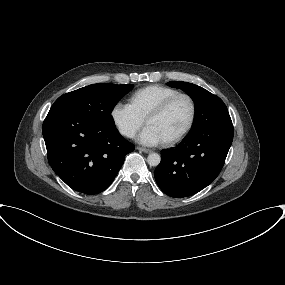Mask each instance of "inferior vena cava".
I'll use <instances>...</instances> for the list:
<instances>
[{
    "label": "inferior vena cava",
    "instance_id": "inferior-vena-cava-1",
    "mask_svg": "<svg viewBox=\"0 0 285 285\" xmlns=\"http://www.w3.org/2000/svg\"><path fill=\"white\" fill-rule=\"evenodd\" d=\"M127 136H128V137L134 136V132H133V131H129L128 134H127Z\"/></svg>",
    "mask_w": 285,
    "mask_h": 285
}]
</instances>
